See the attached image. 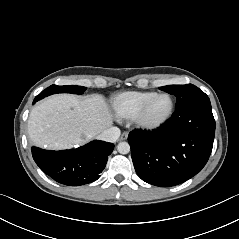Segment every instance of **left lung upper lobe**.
Here are the masks:
<instances>
[{
	"instance_id": "5c2ea615",
	"label": "left lung upper lobe",
	"mask_w": 239,
	"mask_h": 239,
	"mask_svg": "<svg viewBox=\"0 0 239 239\" xmlns=\"http://www.w3.org/2000/svg\"><path fill=\"white\" fill-rule=\"evenodd\" d=\"M159 89L176 96L177 102L175 108H179L193 100L207 97V95L203 91L192 84L168 85L160 87Z\"/></svg>"
}]
</instances>
